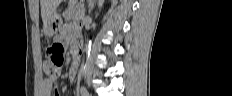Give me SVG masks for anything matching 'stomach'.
Wrapping results in <instances>:
<instances>
[{"mask_svg":"<svg viewBox=\"0 0 232 96\" xmlns=\"http://www.w3.org/2000/svg\"><path fill=\"white\" fill-rule=\"evenodd\" d=\"M62 24L61 16L54 12L50 19L48 20L47 24L44 25V32L48 37L53 36Z\"/></svg>","mask_w":232,"mask_h":96,"instance_id":"stomach-1","label":"stomach"}]
</instances>
